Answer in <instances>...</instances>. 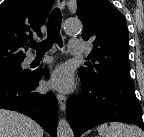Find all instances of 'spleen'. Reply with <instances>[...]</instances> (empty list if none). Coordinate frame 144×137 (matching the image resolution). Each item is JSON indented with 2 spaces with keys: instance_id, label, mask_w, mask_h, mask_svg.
<instances>
[{
  "instance_id": "obj_1",
  "label": "spleen",
  "mask_w": 144,
  "mask_h": 137,
  "mask_svg": "<svg viewBox=\"0 0 144 137\" xmlns=\"http://www.w3.org/2000/svg\"><path fill=\"white\" fill-rule=\"evenodd\" d=\"M97 131L102 137H144V132L138 127L119 122L102 124Z\"/></svg>"
}]
</instances>
